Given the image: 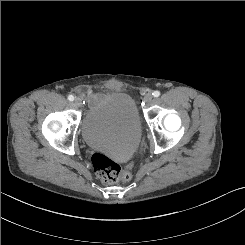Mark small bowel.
I'll return each instance as SVG.
<instances>
[{"instance_id": "obj_1", "label": "small bowel", "mask_w": 245, "mask_h": 245, "mask_svg": "<svg viewBox=\"0 0 245 245\" xmlns=\"http://www.w3.org/2000/svg\"><path fill=\"white\" fill-rule=\"evenodd\" d=\"M97 100H98V99H97L96 97H91L90 103L93 105V104L96 103Z\"/></svg>"}]
</instances>
